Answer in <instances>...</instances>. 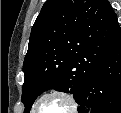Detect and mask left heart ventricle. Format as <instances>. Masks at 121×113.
<instances>
[{
    "label": "left heart ventricle",
    "instance_id": "b2bd125f",
    "mask_svg": "<svg viewBox=\"0 0 121 113\" xmlns=\"http://www.w3.org/2000/svg\"><path fill=\"white\" fill-rule=\"evenodd\" d=\"M69 110V105L66 101L59 97H48L43 100L39 107L38 113H65Z\"/></svg>",
    "mask_w": 121,
    "mask_h": 113
}]
</instances>
